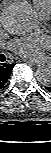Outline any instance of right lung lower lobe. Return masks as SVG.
Returning a JSON list of instances; mask_svg holds the SVG:
<instances>
[{
    "label": "right lung lower lobe",
    "instance_id": "1",
    "mask_svg": "<svg viewBox=\"0 0 51 153\" xmlns=\"http://www.w3.org/2000/svg\"><path fill=\"white\" fill-rule=\"evenodd\" d=\"M1 56V55H0ZM0 59V89L8 81L15 64L2 63Z\"/></svg>",
    "mask_w": 51,
    "mask_h": 153
}]
</instances>
